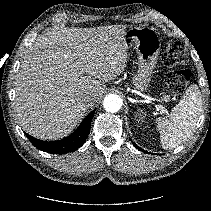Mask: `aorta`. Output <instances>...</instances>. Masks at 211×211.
<instances>
[{
	"instance_id": "1",
	"label": "aorta",
	"mask_w": 211,
	"mask_h": 211,
	"mask_svg": "<svg viewBox=\"0 0 211 211\" xmlns=\"http://www.w3.org/2000/svg\"><path fill=\"white\" fill-rule=\"evenodd\" d=\"M123 101L119 95L109 94L104 98L103 107L107 112L116 113L122 107Z\"/></svg>"
}]
</instances>
